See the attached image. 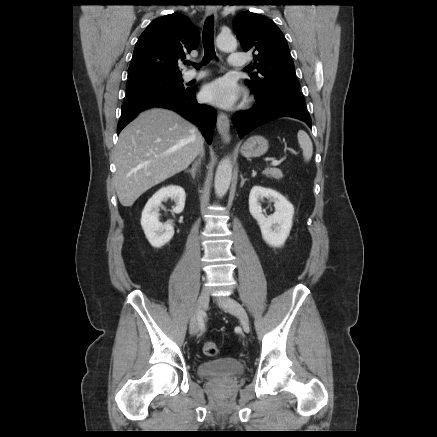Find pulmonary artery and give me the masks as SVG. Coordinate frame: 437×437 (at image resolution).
Returning a JSON list of instances; mask_svg holds the SVG:
<instances>
[{
	"label": "pulmonary artery",
	"mask_w": 437,
	"mask_h": 437,
	"mask_svg": "<svg viewBox=\"0 0 437 437\" xmlns=\"http://www.w3.org/2000/svg\"><path fill=\"white\" fill-rule=\"evenodd\" d=\"M228 64L231 68H241L245 66L246 61L242 54L240 53H231L228 58ZM206 75L205 72H196V71H188L185 74L186 80H194L200 79Z\"/></svg>",
	"instance_id": "pulmonary-artery-1"
}]
</instances>
